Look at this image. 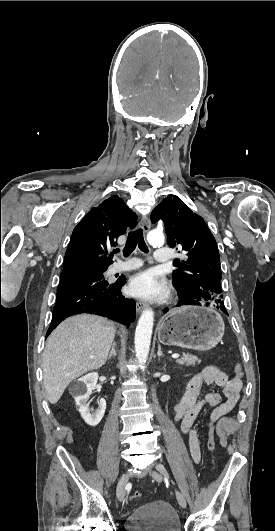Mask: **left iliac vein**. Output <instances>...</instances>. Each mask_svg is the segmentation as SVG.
<instances>
[{
  "instance_id": "obj_1",
  "label": "left iliac vein",
  "mask_w": 275,
  "mask_h": 531,
  "mask_svg": "<svg viewBox=\"0 0 275 531\" xmlns=\"http://www.w3.org/2000/svg\"><path fill=\"white\" fill-rule=\"evenodd\" d=\"M155 467H156V469L158 471H152L151 475H152L153 479H155L157 482H161L162 479H163V476L166 477V478H169V475H168L164 465H162L160 463H156ZM175 494H176V498H177V501H178L179 505L182 508H186L187 502H186V499H185L184 495L178 490H175Z\"/></svg>"
}]
</instances>
